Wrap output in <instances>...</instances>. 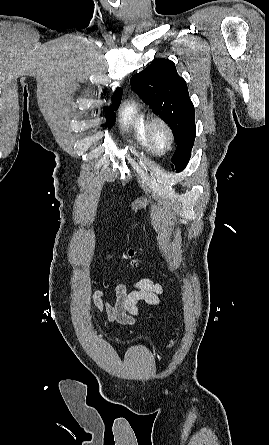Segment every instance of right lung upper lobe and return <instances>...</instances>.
Segmentation results:
<instances>
[{
	"mask_svg": "<svg viewBox=\"0 0 269 445\" xmlns=\"http://www.w3.org/2000/svg\"><path fill=\"white\" fill-rule=\"evenodd\" d=\"M122 98V90L121 88H117L112 99V106H114L119 100Z\"/></svg>",
	"mask_w": 269,
	"mask_h": 445,
	"instance_id": "right-lung-upper-lobe-1",
	"label": "right lung upper lobe"
}]
</instances>
